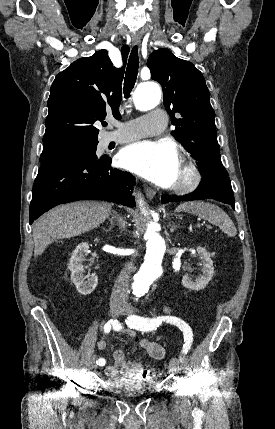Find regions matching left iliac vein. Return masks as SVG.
Masks as SVG:
<instances>
[{
  "label": "left iliac vein",
  "instance_id": "1",
  "mask_svg": "<svg viewBox=\"0 0 275 429\" xmlns=\"http://www.w3.org/2000/svg\"><path fill=\"white\" fill-rule=\"evenodd\" d=\"M133 311H134V309L131 306H127L126 305V306H124L122 308L121 313L124 314V315H130V314L133 313ZM169 367H170V370L173 373H175V374L178 373V371H179V361H178V359L177 358H172L170 360Z\"/></svg>",
  "mask_w": 275,
  "mask_h": 429
}]
</instances>
